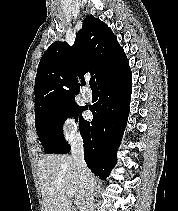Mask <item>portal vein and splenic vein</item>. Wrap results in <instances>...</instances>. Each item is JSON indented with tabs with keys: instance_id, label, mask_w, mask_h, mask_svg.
I'll return each instance as SVG.
<instances>
[{
	"instance_id": "portal-vein-and-splenic-vein-1",
	"label": "portal vein and splenic vein",
	"mask_w": 178,
	"mask_h": 211,
	"mask_svg": "<svg viewBox=\"0 0 178 211\" xmlns=\"http://www.w3.org/2000/svg\"><path fill=\"white\" fill-rule=\"evenodd\" d=\"M67 194H68V196H69L70 198H74V196H73V194H72L71 192H68Z\"/></svg>"
}]
</instances>
